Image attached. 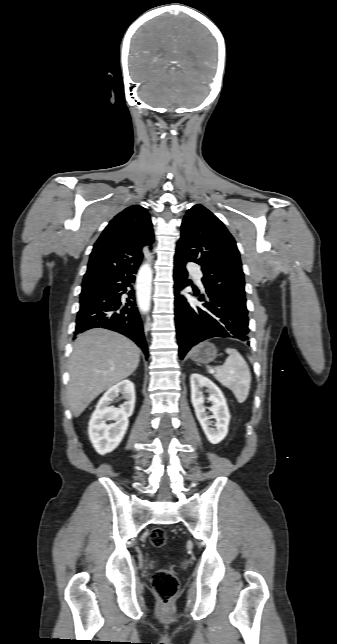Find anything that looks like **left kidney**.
Instances as JSON below:
<instances>
[{
  "label": "left kidney",
  "instance_id": "left-kidney-1",
  "mask_svg": "<svg viewBox=\"0 0 337 644\" xmlns=\"http://www.w3.org/2000/svg\"><path fill=\"white\" fill-rule=\"evenodd\" d=\"M191 383V402L195 409L196 417L210 443L217 444L221 442L228 433V425L230 422V413L226 403V399L220 388L214 384L210 379L194 373L190 376ZM207 388L210 393L208 400L212 403L209 410L212 416H209L204 406V396L201 388ZM214 418V421L210 419ZM214 426L215 428H212Z\"/></svg>",
  "mask_w": 337,
  "mask_h": 644
}]
</instances>
